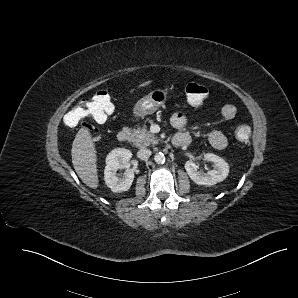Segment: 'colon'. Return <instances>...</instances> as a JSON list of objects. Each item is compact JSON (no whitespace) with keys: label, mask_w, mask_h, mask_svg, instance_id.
Wrapping results in <instances>:
<instances>
[{"label":"colon","mask_w":298,"mask_h":298,"mask_svg":"<svg viewBox=\"0 0 298 298\" xmlns=\"http://www.w3.org/2000/svg\"><path fill=\"white\" fill-rule=\"evenodd\" d=\"M185 95L192 105H200L206 101L208 89L197 83H189L185 87ZM114 106L111 100V92L106 89L95 95L80 99L65 115V123L74 127L85 119H92L98 123L107 120L113 112ZM234 136L240 143H248L251 138V127L246 123H240L234 128Z\"/></svg>","instance_id":"5ec220e1"}]
</instances>
